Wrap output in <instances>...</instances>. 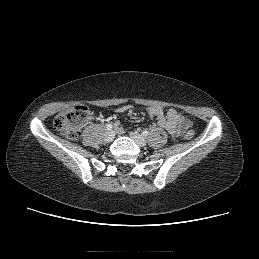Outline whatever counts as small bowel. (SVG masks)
I'll return each mask as SVG.
<instances>
[{
	"mask_svg": "<svg viewBox=\"0 0 259 259\" xmlns=\"http://www.w3.org/2000/svg\"><path fill=\"white\" fill-rule=\"evenodd\" d=\"M132 110V106L124 105L118 107L115 112L125 113L132 112ZM147 112L159 127L165 129L173 137L180 136L192 125L189 119L178 113L175 109L165 111L161 107L151 106L148 108ZM116 126H118V124H116Z\"/></svg>",
	"mask_w": 259,
	"mask_h": 259,
	"instance_id": "obj_1",
	"label": "small bowel"
}]
</instances>
